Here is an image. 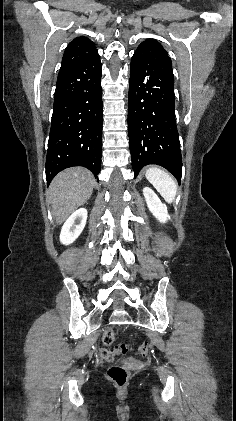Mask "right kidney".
<instances>
[{
    "label": "right kidney",
    "mask_w": 236,
    "mask_h": 421,
    "mask_svg": "<svg viewBox=\"0 0 236 421\" xmlns=\"http://www.w3.org/2000/svg\"><path fill=\"white\" fill-rule=\"evenodd\" d=\"M86 221V208H78V211L72 213L61 229L60 241L62 245H70V243H73V241L81 235L86 225Z\"/></svg>",
    "instance_id": "obj_1"
}]
</instances>
